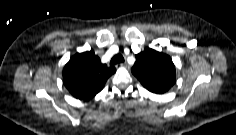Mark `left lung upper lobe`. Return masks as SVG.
Listing matches in <instances>:
<instances>
[{
  "mask_svg": "<svg viewBox=\"0 0 236 135\" xmlns=\"http://www.w3.org/2000/svg\"><path fill=\"white\" fill-rule=\"evenodd\" d=\"M135 57L131 71L147 90L163 94L175 84V66L168 55L147 47Z\"/></svg>",
  "mask_w": 236,
  "mask_h": 135,
  "instance_id": "obj_1",
  "label": "left lung upper lobe"
}]
</instances>
